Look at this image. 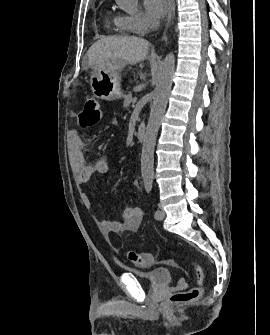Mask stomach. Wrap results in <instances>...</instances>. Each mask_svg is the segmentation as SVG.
Masks as SVG:
<instances>
[{"label":"stomach","mask_w":270,"mask_h":335,"mask_svg":"<svg viewBox=\"0 0 270 335\" xmlns=\"http://www.w3.org/2000/svg\"><path fill=\"white\" fill-rule=\"evenodd\" d=\"M113 72V67L92 68L89 84L94 98L109 100V102L124 98L120 74L119 72L113 74Z\"/></svg>","instance_id":"1"}]
</instances>
